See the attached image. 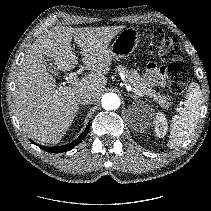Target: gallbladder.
Returning a JSON list of instances; mask_svg holds the SVG:
<instances>
[{
	"instance_id": "1",
	"label": "gallbladder",
	"mask_w": 211,
	"mask_h": 211,
	"mask_svg": "<svg viewBox=\"0 0 211 211\" xmlns=\"http://www.w3.org/2000/svg\"><path fill=\"white\" fill-rule=\"evenodd\" d=\"M44 63L48 72L54 75L58 74L57 66L55 65V63L53 62L51 58L45 57Z\"/></svg>"
}]
</instances>
